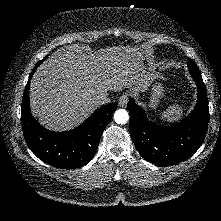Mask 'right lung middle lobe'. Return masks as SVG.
Segmentation results:
<instances>
[{"label":"right lung middle lobe","mask_w":221,"mask_h":221,"mask_svg":"<svg viewBox=\"0 0 221 221\" xmlns=\"http://www.w3.org/2000/svg\"><path fill=\"white\" fill-rule=\"evenodd\" d=\"M44 61V59L43 60H41V61H39L37 64H36V66L35 67H38L42 62Z\"/></svg>","instance_id":"1"}]
</instances>
